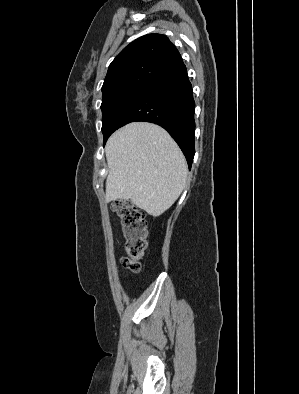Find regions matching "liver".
<instances>
[{
    "label": "liver",
    "mask_w": 299,
    "mask_h": 394,
    "mask_svg": "<svg viewBox=\"0 0 299 394\" xmlns=\"http://www.w3.org/2000/svg\"><path fill=\"white\" fill-rule=\"evenodd\" d=\"M109 174L106 201L131 200L157 217L169 209L186 185L183 153L160 126L133 122L115 131L105 146Z\"/></svg>",
    "instance_id": "liver-1"
}]
</instances>
